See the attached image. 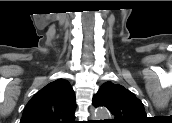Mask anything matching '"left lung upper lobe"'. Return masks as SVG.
<instances>
[{
  "mask_svg": "<svg viewBox=\"0 0 172 123\" xmlns=\"http://www.w3.org/2000/svg\"><path fill=\"white\" fill-rule=\"evenodd\" d=\"M92 102L95 107L109 109L114 116L111 123H143L147 120L143 103L131 91L110 81L100 87Z\"/></svg>",
  "mask_w": 172,
  "mask_h": 123,
  "instance_id": "left-lung-upper-lobe-1",
  "label": "left lung upper lobe"
}]
</instances>
